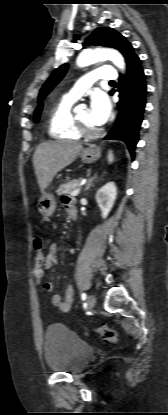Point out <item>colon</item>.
Listing matches in <instances>:
<instances>
[{
  "instance_id": "colon-1",
  "label": "colon",
  "mask_w": 168,
  "mask_h": 415,
  "mask_svg": "<svg viewBox=\"0 0 168 415\" xmlns=\"http://www.w3.org/2000/svg\"><path fill=\"white\" fill-rule=\"evenodd\" d=\"M34 247L37 250L36 252V258L34 259V264L32 267V277L35 281L36 285L40 284V281L42 280L45 269H46V257L47 254L45 251H43V241L41 238H36L34 240ZM96 332L105 340L111 343H115L118 340V334L117 331L109 326H99L96 328Z\"/></svg>"
}]
</instances>
